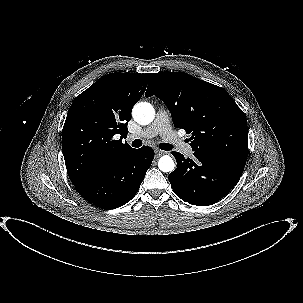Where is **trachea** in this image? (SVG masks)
I'll return each mask as SVG.
<instances>
[{
  "label": "trachea",
  "mask_w": 303,
  "mask_h": 303,
  "mask_svg": "<svg viewBox=\"0 0 303 303\" xmlns=\"http://www.w3.org/2000/svg\"><path fill=\"white\" fill-rule=\"evenodd\" d=\"M131 145H132L133 147L138 148V147H140V146L142 145V140H140V139H135V140L131 143ZM159 148L162 149V150H165V151H169V150L172 149V146H171L170 144H168V143H161V144L159 145Z\"/></svg>",
  "instance_id": "1"
}]
</instances>
